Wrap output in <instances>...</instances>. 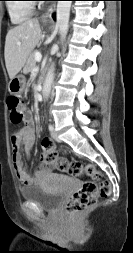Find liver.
Here are the masks:
<instances>
[{
  "mask_svg": "<svg viewBox=\"0 0 133 253\" xmlns=\"http://www.w3.org/2000/svg\"><path fill=\"white\" fill-rule=\"evenodd\" d=\"M41 35L38 19L27 20L8 31L4 56L10 79L22 69L29 54L41 39Z\"/></svg>",
  "mask_w": 133,
  "mask_h": 253,
  "instance_id": "liver-1",
  "label": "liver"
}]
</instances>
